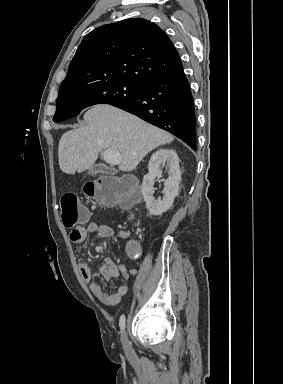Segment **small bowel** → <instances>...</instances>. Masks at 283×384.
Instances as JSON below:
<instances>
[{
	"label": "small bowel",
	"mask_w": 283,
	"mask_h": 384,
	"mask_svg": "<svg viewBox=\"0 0 283 384\" xmlns=\"http://www.w3.org/2000/svg\"><path fill=\"white\" fill-rule=\"evenodd\" d=\"M90 234H96L101 238H111L114 235L112 228L106 224L89 222L74 228L70 233V239L74 243H81ZM79 271L82 279L88 284L91 293L103 304L114 306L118 304L129 288V281L137 273L135 269H128L107 258L99 269L100 276L105 280L122 277L123 283L113 292L106 293L102 287L93 281L90 268L81 259L78 261Z\"/></svg>",
	"instance_id": "c3829d8e"
}]
</instances>
